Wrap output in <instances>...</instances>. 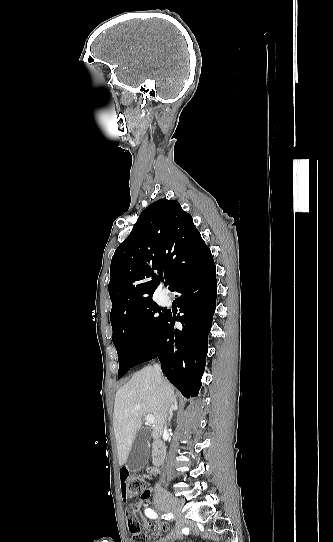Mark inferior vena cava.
Here are the masks:
<instances>
[{
	"label": "inferior vena cava",
	"mask_w": 333,
	"mask_h": 542,
	"mask_svg": "<svg viewBox=\"0 0 333 542\" xmlns=\"http://www.w3.org/2000/svg\"><path fill=\"white\" fill-rule=\"evenodd\" d=\"M154 370L155 372H158V374H161V366L160 364H154ZM160 488V484H156V490Z\"/></svg>",
	"instance_id": "obj_1"
}]
</instances>
